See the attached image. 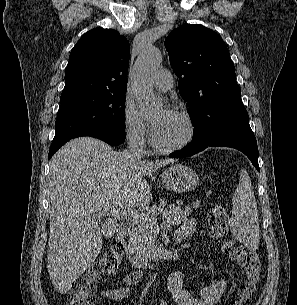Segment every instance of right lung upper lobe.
Returning <instances> with one entry per match:
<instances>
[{
  "instance_id": "1",
  "label": "right lung upper lobe",
  "mask_w": 297,
  "mask_h": 305,
  "mask_svg": "<svg viewBox=\"0 0 297 305\" xmlns=\"http://www.w3.org/2000/svg\"><path fill=\"white\" fill-rule=\"evenodd\" d=\"M129 54V42L117 31H88L70 53L60 99L126 91Z\"/></svg>"
}]
</instances>
